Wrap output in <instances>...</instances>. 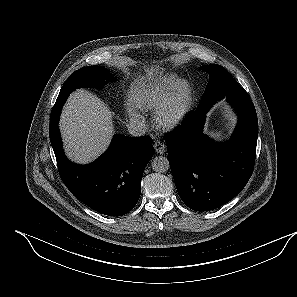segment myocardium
<instances>
[{"instance_id":"f54148a6","label":"myocardium","mask_w":297,"mask_h":297,"mask_svg":"<svg viewBox=\"0 0 297 297\" xmlns=\"http://www.w3.org/2000/svg\"><path fill=\"white\" fill-rule=\"evenodd\" d=\"M192 88L185 80L178 81L170 95L154 111L156 127L170 131L178 127L189 114L192 105Z\"/></svg>"}]
</instances>
